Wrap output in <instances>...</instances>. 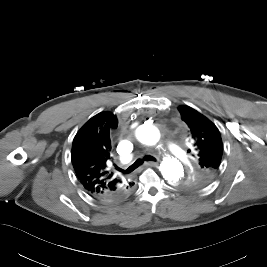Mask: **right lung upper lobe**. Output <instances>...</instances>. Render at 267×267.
<instances>
[{
    "label": "right lung upper lobe",
    "instance_id": "right-lung-upper-lobe-1",
    "mask_svg": "<svg viewBox=\"0 0 267 267\" xmlns=\"http://www.w3.org/2000/svg\"><path fill=\"white\" fill-rule=\"evenodd\" d=\"M117 124L112 113H99L84 124L73 140L74 170L85 190L95 197L114 195L129 182L115 177L107 166L111 152L109 132Z\"/></svg>",
    "mask_w": 267,
    "mask_h": 267
}]
</instances>
